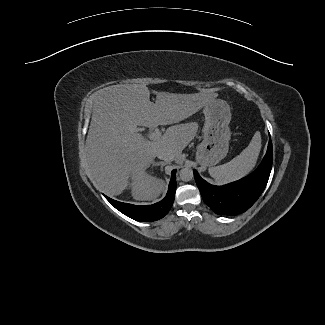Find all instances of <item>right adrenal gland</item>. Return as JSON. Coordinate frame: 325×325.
Returning <instances> with one entry per match:
<instances>
[{
  "label": "right adrenal gland",
  "instance_id": "2a0ac1e0",
  "mask_svg": "<svg viewBox=\"0 0 325 325\" xmlns=\"http://www.w3.org/2000/svg\"><path fill=\"white\" fill-rule=\"evenodd\" d=\"M161 166V171L163 170V167L167 165V162L159 161V162H153V166Z\"/></svg>",
  "mask_w": 325,
  "mask_h": 325
}]
</instances>
